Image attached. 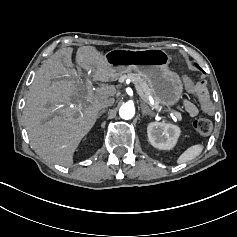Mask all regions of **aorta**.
Wrapping results in <instances>:
<instances>
[{
  "label": "aorta",
  "instance_id": "1",
  "mask_svg": "<svg viewBox=\"0 0 237 237\" xmlns=\"http://www.w3.org/2000/svg\"><path fill=\"white\" fill-rule=\"evenodd\" d=\"M135 110L133 105L126 103L122 105L119 109V116L124 120H130L134 117Z\"/></svg>",
  "mask_w": 237,
  "mask_h": 237
}]
</instances>
